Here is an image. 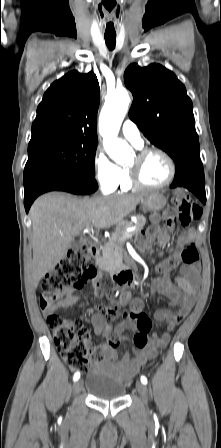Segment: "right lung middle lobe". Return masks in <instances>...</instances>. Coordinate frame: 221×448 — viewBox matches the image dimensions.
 Listing matches in <instances>:
<instances>
[{"label": "right lung middle lobe", "mask_w": 221, "mask_h": 448, "mask_svg": "<svg viewBox=\"0 0 221 448\" xmlns=\"http://www.w3.org/2000/svg\"><path fill=\"white\" fill-rule=\"evenodd\" d=\"M97 139H72L28 148L25 169L51 167L80 177L95 179Z\"/></svg>", "instance_id": "1"}]
</instances>
